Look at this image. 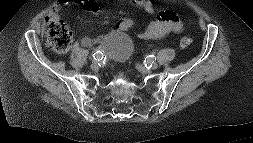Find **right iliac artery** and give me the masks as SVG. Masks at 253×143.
<instances>
[{
	"instance_id": "1",
	"label": "right iliac artery",
	"mask_w": 253,
	"mask_h": 143,
	"mask_svg": "<svg viewBox=\"0 0 253 143\" xmlns=\"http://www.w3.org/2000/svg\"><path fill=\"white\" fill-rule=\"evenodd\" d=\"M93 58H94L95 60H102V58H103V53H102L101 51L98 50V51L94 52Z\"/></svg>"
}]
</instances>
